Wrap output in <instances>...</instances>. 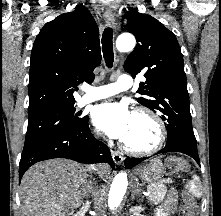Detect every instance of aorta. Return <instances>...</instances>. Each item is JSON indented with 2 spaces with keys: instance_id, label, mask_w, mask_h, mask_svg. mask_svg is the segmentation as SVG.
<instances>
[{
  "instance_id": "obj_1",
  "label": "aorta",
  "mask_w": 221,
  "mask_h": 216,
  "mask_svg": "<svg viewBox=\"0 0 221 216\" xmlns=\"http://www.w3.org/2000/svg\"><path fill=\"white\" fill-rule=\"evenodd\" d=\"M135 44L136 41L132 34H121L116 40V48L119 52H129L134 49ZM127 186V175L124 172L118 173L111 184L108 196V206L111 210L120 205Z\"/></svg>"
}]
</instances>
